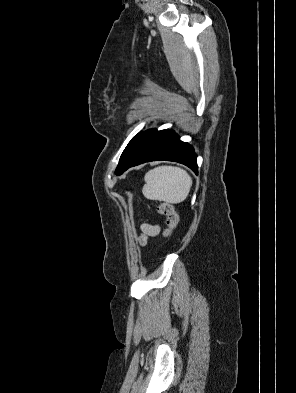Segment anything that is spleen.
<instances>
[{
    "label": "spleen",
    "instance_id": "obj_1",
    "mask_svg": "<svg viewBox=\"0 0 296 393\" xmlns=\"http://www.w3.org/2000/svg\"><path fill=\"white\" fill-rule=\"evenodd\" d=\"M143 195L150 200L178 204L183 202L192 186L191 176L179 167L159 166L145 174Z\"/></svg>",
    "mask_w": 296,
    "mask_h": 393
}]
</instances>
